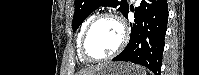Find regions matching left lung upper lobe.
<instances>
[{
	"instance_id": "obj_1",
	"label": "left lung upper lobe",
	"mask_w": 199,
	"mask_h": 75,
	"mask_svg": "<svg viewBox=\"0 0 199 75\" xmlns=\"http://www.w3.org/2000/svg\"><path fill=\"white\" fill-rule=\"evenodd\" d=\"M100 6L119 7L118 10L124 16L129 8L127 0H75V13L72 21L73 30L76 31L87 16Z\"/></svg>"
}]
</instances>
